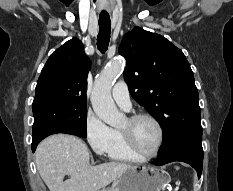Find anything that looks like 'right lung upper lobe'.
<instances>
[{"instance_id": "obj_1", "label": "right lung upper lobe", "mask_w": 233, "mask_h": 191, "mask_svg": "<svg viewBox=\"0 0 233 191\" xmlns=\"http://www.w3.org/2000/svg\"><path fill=\"white\" fill-rule=\"evenodd\" d=\"M91 62L81 41L73 38L55 50L42 69L34 101L57 99L86 105V78Z\"/></svg>"}]
</instances>
